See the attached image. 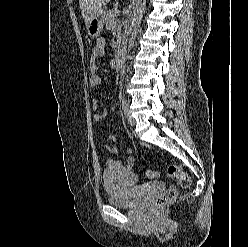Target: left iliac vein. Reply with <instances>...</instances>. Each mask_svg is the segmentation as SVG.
Here are the masks:
<instances>
[{
    "label": "left iliac vein",
    "instance_id": "4c4485c4",
    "mask_svg": "<svg viewBox=\"0 0 248 247\" xmlns=\"http://www.w3.org/2000/svg\"><path fill=\"white\" fill-rule=\"evenodd\" d=\"M127 121H128L129 125H131V126L135 125V120L129 111L127 112Z\"/></svg>",
    "mask_w": 248,
    "mask_h": 247
}]
</instances>
